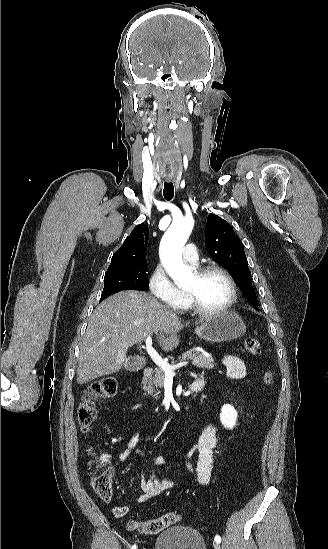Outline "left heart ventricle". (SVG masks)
<instances>
[{"instance_id":"1","label":"left heart ventricle","mask_w":328,"mask_h":549,"mask_svg":"<svg viewBox=\"0 0 328 549\" xmlns=\"http://www.w3.org/2000/svg\"><path fill=\"white\" fill-rule=\"evenodd\" d=\"M191 291L201 307L214 309L227 302L230 296V285L219 271H210L201 277L191 274L187 284L183 287Z\"/></svg>"}]
</instances>
